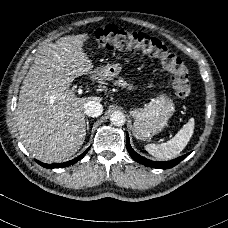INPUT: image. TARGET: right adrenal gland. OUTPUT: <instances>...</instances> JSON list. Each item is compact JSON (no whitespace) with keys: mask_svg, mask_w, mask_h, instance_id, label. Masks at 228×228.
<instances>
[{"mask_svg":"<svg viewBox=\"0 0 228 228\" xmlns=\"http://www.w3.org/2000/svg\"><path fill=\"white\" fill-rule=\"evenodd\" d=\"M86 125H87L86 129H87V131H89V121H88V119H86Z\"/></svg>","mask_w":228,"mask_h":228,"instance_id":"right-adrenal-gland-1","label":"right adrenal gland"}]
</instances>
